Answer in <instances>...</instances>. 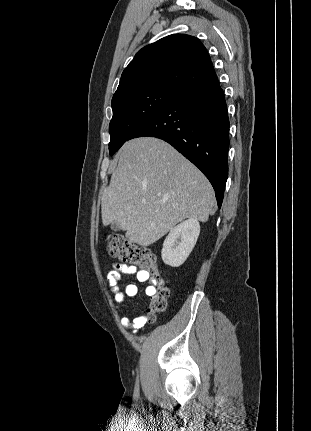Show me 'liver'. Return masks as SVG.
Listing matches in <instances>:
<instances>
[{
	"label": "liver",
	"mask_w": 311,
	"mask_h": 431,
	"mask_svg": "<svg viewBox=\"0 0 311 431\" xmlns=\"http://www.w3.org/2000/svg\"><path fill=\"white\" fill-rule=\"evenodd\" d=\"M213 206L210 182L189 160L163 140L135 138L119 150L101 216L103 225L117 223L128 241L145 247L185 217L207 221Z\"/></svg>",
	"instance_id": "6515ba94"
}]
</instances>
